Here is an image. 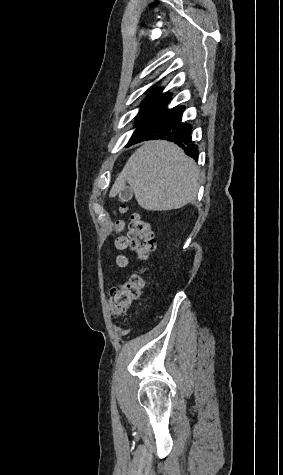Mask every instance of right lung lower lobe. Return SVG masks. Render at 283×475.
Listing matches in <instances>:
<instances>
[{
	"instance_id": "98d812e1",
	"label": "right lung lower lobe",
	"mask_w": 283,
	"mask_h": 475,
	"mask_svg": "<svg viewBox=\"0 0 283 475\" xmlns=\"http://www.w3.org/2000/svg\"><path fill=\"white\" fill-rule=\"evenodd\" d=\"M169 100L147 117L135 130L127 146L153 139L174 142L190 157L197 159L198 150L191 141L192 125L182 121L185 106L167 108Z\"/></svg>"
}]
</instances>
